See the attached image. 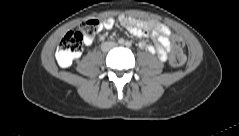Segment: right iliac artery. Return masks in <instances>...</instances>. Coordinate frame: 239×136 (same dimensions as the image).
<instances>
[{
    "label": "right iliac artery",
    "mask_w": 239,
    "mask_h": 136,
    "mask_svg": "<svg viewBox=\"0 0 239 136\" xmlns=\"http://www.w3.org/2000/svg\"><path fill=\"white\" fill-rule=\"evenodd\" d=\"M118 43H119V44H124V40H123V39H120V40H118Z\"/></svg>",
    "instance_id": "right-iliac-artery-1"
}]
</instances>
